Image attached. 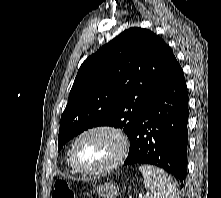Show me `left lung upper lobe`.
I'll list each match as a JSON object with an SVG mask.
<instances>
[{
    "label": "left lung upper lobe",
    "mask_w": 221,
    "mask_h": 198,
    "mask_svg": "<svg viewBox=\"0 0 221 198\" xmlns=\"http://www.w3.org/2000/svg\"><path fill=\"white\" fill-rule=\"evenodd\" d=\"M174 55L156 34L130 28L81 65L61 116L58 151L88 128H123L130 139L141 111L163 82Z\"/></svg>",
    "instance_id": "left-lung-upper-lobe-1"
}]
</instances>
